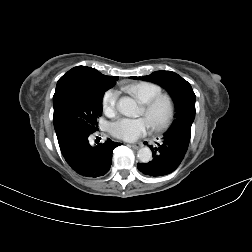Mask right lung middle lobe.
<instances>
[{"label": "right lung middle lobe", "mask_w": 252, "mask_h": 252, "mask_svg": "<svg viewBox=\"0 0 252 252\" xmlns=\"http://www.w3.org/2000/svg\"><path fill=\"white\" fill-rule=\"evenodd\" d=\"M110 86L96 82L68 83L53 96V122L56 134L69 130L94 132L102 115V97Z\"/></svg>", "instance_id": "dd1d6c3e"}]
</instances>
